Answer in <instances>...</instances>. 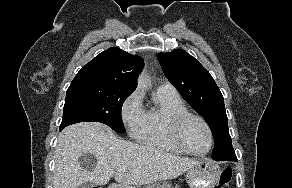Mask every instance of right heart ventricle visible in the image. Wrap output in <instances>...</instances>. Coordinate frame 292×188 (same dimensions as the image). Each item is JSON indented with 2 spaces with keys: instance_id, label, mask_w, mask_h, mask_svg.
Returning a JSON list of instances; mask_svg holds the SVG:
<instances>
[{
  "instance_id": "right-heart-ventricle-1",
  "label": "right heart ventricle",
  "mask_w": 292,
  "mask_h": 188,
  "mask_svg": "<svg viewBox=\"0 0 292 188\" xmlns=\"http://www.w3.org/2000/svg\"><path fill=\"white\" fill-rule=\"evenodd\" d=\"M183 112H187V108L178 93L157 90L154 106L144 111L141 127L135 137L144 145L183 154L184 151L174 142L170 132L172 117Z\"/></svg>"
}]
</instances>
